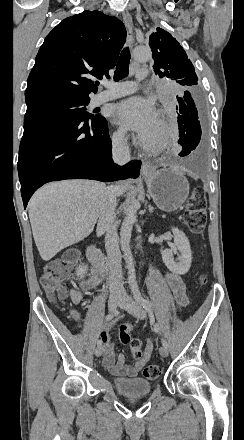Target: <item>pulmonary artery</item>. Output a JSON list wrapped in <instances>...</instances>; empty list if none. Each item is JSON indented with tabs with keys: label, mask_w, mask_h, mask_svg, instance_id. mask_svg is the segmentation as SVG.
Segmentation results:
<instances>
[{
	"label": "pulmonary artery",
	"mask_w": 244,
	"mask_h": 440,
	"mask_svg": "<svg viewBox=\"0 0 244 440\" xmlns=\"http://www.w3.org/2000/svg\"><path fill=\"white\" fill-rule=\"evenodd\" d=\"M146 76V69H137L136 76L131 77V82H128L127 85L124 83H120L119 85L117 83H111L109 92L105 91L96 94L91 100V105L97 106L104 102L133 94V92L137 89L136 83L138 82V78H146Z\"/></svg>",
	"instance_id": "obj_1"
}]
</instances>
